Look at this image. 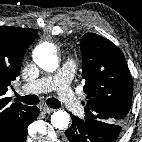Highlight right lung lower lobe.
I'll list each match as a JSON object with an SVG mask.
<instances>
[{"label": "right lung lower lobe", "instance_id": "98d812e1", "mask_svg": "<svg viewBox=\"0 0 142 142\" xmlns=\"http://www.w3.org/2000/svg\"><path fill=\"white\" fill-rule=\"evenodd\" d=\"M39 112L37 107H29L24 117L16 123L9 135L0 142H25L28 132L27 127L39 115Z\"/></svg>", "mask_w": 142, "mask_h": 142}]
</instances>
